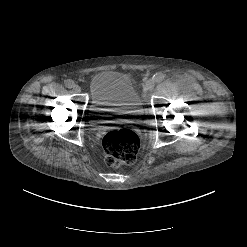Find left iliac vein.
I'll return each mask as SVG.
<instances>
[{
    "label": "left iliac vein",
    "instance_id": "4c4485c4",
    "mask_svg": "<svg viewBox=\"0 0 247 247\" xmlns=\"http://www.w3.org/2000/svg\"><path fill=\"white\" fill-rule=\"evenodd\" d=\"M154 81L153 80H149L146 82V84L144 85V92L148 93L150 92L153 88H154Z\"/></svg>",
    "mask_w": 247,
    "mask_h": 247
}]
</instances>
